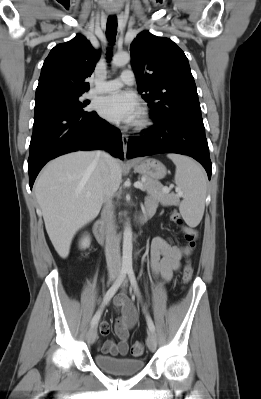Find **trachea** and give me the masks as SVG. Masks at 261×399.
I'll return each instance as SVG.
<instances>
[{
  "mask_svg": "<svg viewBox=\"0 0 261 399\" xmlns=\"http://www.w3.org/2000/svg\"><path fill=\"white\" fill-rule=\"evenodd\" d=\"M117 34V18L115 16L109 17L106 26V35L109 41L114 42ZM110 57L111 54H108Z\"/></svg>",
  "mask_w": 261,
  "mask_h": 399,
  "instance_id": "3493384b",
  "label": "trachea"
}]
</instances>
